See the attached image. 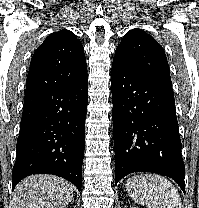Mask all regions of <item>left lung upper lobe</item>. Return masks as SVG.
<instances>
[{"mask_svg":"<svg viewBox=\"0 0 199 208\" xmlns=\"http://www.w3.org/2000/svg\"><path fill=\"white\" fill-rule=\"evenodd\" d=\"M113 61H118L136 74L172 86L169 66L163 48L140 29L124 35Z\"/></svg>","mask_w":199,"mask_h":208,"instance_id":"5c2ea615","label":"left lung upper lobe"}]
</instances>
